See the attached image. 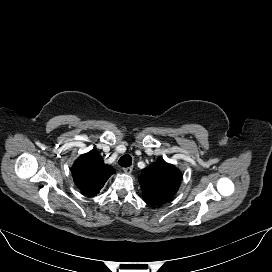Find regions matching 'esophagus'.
Returning <instances> with one entry per match:
<instances>
[{
  "mask_svg": "<svg viewBox=\"0 0 272 272\" xmlns=\"http://www.w3.org/2000/svg\"><path fill=\"white\" fill-rule=\"evenodd\" d=\"M132 169H133L132 167H126V168L123 169V171H124L126 174H131Z\"/></svg>",
  "mask_w": 272,
  "mask_h": 272,
  "instance_id": "obj_1",
  "label": "esophagus"
}]
</instances>
